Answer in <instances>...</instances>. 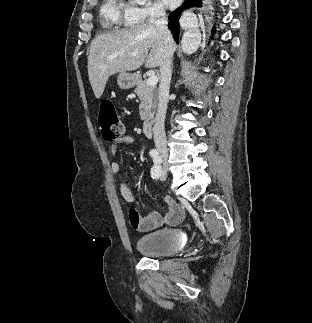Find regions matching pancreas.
I'll list each match as a JSON object with an SVG mask.
<instances>
[{"instance_id": "obj_1", "label": "pancreas", "mask_w": 312, "mask_h": 323, "mask_svg": "<svg viewBox=\"0 0 312 323\" xmlns=\"http://www.w3.org/2000/svg\"><path fill=\"white\" fill-rule=\"evenodd\" d=\"M140 100L139 114L141 120L153 118L157 106V92L155 86H148L147 80L138 82L135 90Z\"/></svg>"}]
</instances>
